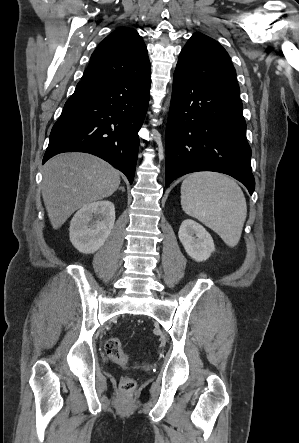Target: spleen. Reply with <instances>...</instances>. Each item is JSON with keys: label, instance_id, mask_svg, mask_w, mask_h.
Returning <instances> with one entry per match:
<instances>
[{"label": "spleen", "instance_id": "3e777b00", "mask_svg": "<svg viewBox=\"0 0 299 443\" xmlns=\"http://www.w3.org/2000/svg\"><path fill=\"white\" fill-rule=\"evenodd\" d=\"M181 205L186 214L214 230L227 245L238 244L247 206L233 179L211 172L191 174L181 185Z\"/></svg>", "mask_w": 299, "mask_h": 443}]
</instances>
